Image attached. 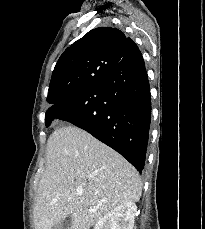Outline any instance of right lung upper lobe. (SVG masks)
Masks as SVG:
<instances>
[{"label": "right lung upper lobe", "mask_w": 205, "mask_h": 229, "mask_svg": "<svg viewBox=\"0 0 205 229\" xmlns=\"http://www.w3.org/2000/svg\"><path fill=\"white\" fill-rule=\"evenodd\" d=\"M131 49L133 55L139 51L134 41L119 29L99 27L90 30L67 48L57 61L47 102L56 104L67 100L96 83L97 77H107Z\"/></svg>", "instance_id": "obj_1"}]
</instances>
